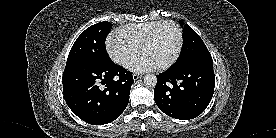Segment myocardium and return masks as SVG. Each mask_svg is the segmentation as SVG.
<instances>
[{"mask_svg":"<svg viewBox=\"0 0 276 138\" xmlns=\"http://www.w3.org/2000/svg\"><path fill=\"white\" fill-rule=\"evenodd\" d=\"M165 25H172V26H174V27L176 28V30H177V32H178V35H179V44H178V48H177L176 53H175V55L173 56V58H172L169 62H167V63H165V64L159 66L158 68H159L160 70H166V69L170 68L172 65H174V64L177 62V60H178L179 57H180V54H181V52H182L183 45H184V33H183V30H182L181 26H180L177 22H175V21H173V20H164V21L160 22V23L151 31V33L149 34V36L146 38V40L144 41V43H143L142 46H141V52L143 53V52L145 51V49H146L149 45L152 44V42H153L154 39L156 38V36H157L159 30H160L163 26H165Z\"/></svg>","mask_w":276,"mask_h":138,"instance_id":"f54148a6","label":"myocardium"}]
</instances>
